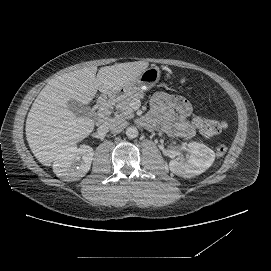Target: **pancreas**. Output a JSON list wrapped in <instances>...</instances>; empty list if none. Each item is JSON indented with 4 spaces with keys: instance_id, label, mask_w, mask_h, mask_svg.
Segmentation results:
<instances>
[{
    "instance_id": "cf45deb5",
    "label": "pancreas",
    "mask_w": 271,
    "mask_h": 271,
    "mask_svg": "<svg viewBox=\"0 0 271 271\" xmlns=\"http://www.w3.org/2000/svg\"><path fill=\"white\" fill-rule=\"evenodd\" d=\"M143 98L142 93L127 94L124 98L118 100L115 108L118 111L117 115L125 118L134 117V109L131 107L132 102Z\"/></svg>"
}]
</instances>
